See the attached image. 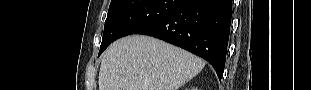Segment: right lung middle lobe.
<instances>
[{"label":"right lung middle lobe","mask_w":311,"mask_h":90,"mask_svg":"<svg viewBox=\"0 0 311 90\" xmlns=\"http://www.w3.org/2000/svg\"><path fill=\"white\" fill-rule=\"evenodd\" d=\"M183 0H112L99 55L116 39L136 34L173 11Z\"/></svg>","instance_id":"right-lung-middle-lobe-1"}]
</instances>
